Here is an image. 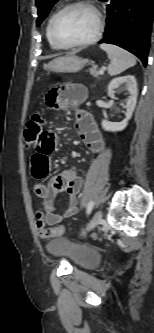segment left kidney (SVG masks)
I'll use <instances>...</instances> for the list:
<instances>
[{
	"label": "left kidney",
	"instance_id": "left-kidney-1",
	"mask_svg": "<svg viewBox=\"0 0 154 333\" xmlns=\"http://www.w3.org/2000/svg\"><path fill=\"white\" fill-rule=\"evenodd\" d=\"M122 84H126V87L130 94V96L126 99V103L124 106L126 108L125 119L121 122H110L107 119H103L101 125L105 131L117 132L124 130L127 127L128 121L131 119L133 111L135 109L138 90L136 79L132 75H126L113 79L108 85V96L112 99H115V89Z\"/></svg>",
	"mask_w": 154,
	"mask_h": 333
}]
</instances>
